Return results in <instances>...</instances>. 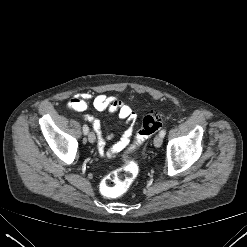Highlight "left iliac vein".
<instances>
[{"label": "left iliac vein", "instance_id": "obj_1", "mask_svg": "<svg viewBox=\"0 0 247 247\" xmlns=\"http://www.w3.org/2000/svg\"><path fill=\"white\" fill-rule=\"evenodd\" d=\"M163 143V137H161L160 135H157L155 138H154V145L155 147H160Z\"/></svg>", "mask_w": 247, "mask_h": 247}]
</instances>
